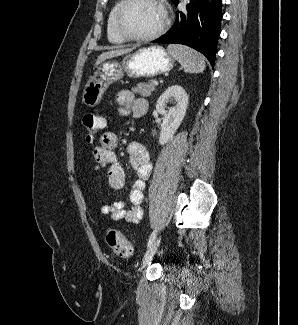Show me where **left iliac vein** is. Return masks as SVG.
Here are the masks:
<instances>
[{
	"label": "left iliac vein",
	"mask_w": 298,
	"mask_h": 325,
	"mask_svg": "<svg viewBox=\"0 0 298 325\" xmlns=\"http://www.w3.org/2000/svg\"><path fill=\"white\" fill-rule=\"evenodd\" d=\"M161 237H157L154 242L149 246L146 250L143 259H142V268H145L152 261L159 245H160Z\"/></svg>",
	"instance_id": "left-iliac-vein-1"
}]
</instances>
